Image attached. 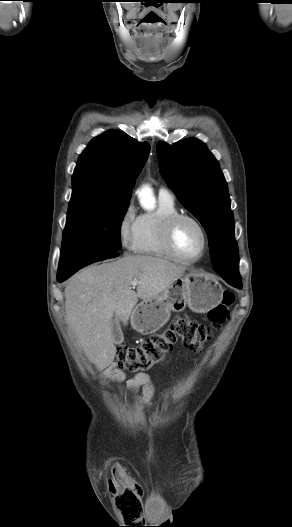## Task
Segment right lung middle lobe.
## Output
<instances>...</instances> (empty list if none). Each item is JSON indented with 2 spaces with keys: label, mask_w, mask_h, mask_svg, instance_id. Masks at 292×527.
<instances>
[{
  "label": "right lung middle lobe",
  "mask_w": 292,
  "mask_h": 527,
  "mask_svg": "<svg viewBox=\"0 0 292 527\" xmlns=\"http://www.w3.org/2000/svg\"><path fill=\"white\" fill-rule=\"evenodd\" d=\"M128 204L129 199H115L97 190L73 188L62 251L89 248L120 250V226Z\"/></svg>",
  "instance_id": "dd1d6c3e"
}]
</instances>
